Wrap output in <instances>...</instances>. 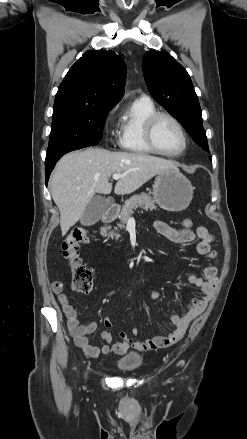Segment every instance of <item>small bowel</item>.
Instances as JSON below:
<instances>
[{
	"label": "small bowel",
	"instance_id": "small-bowel-1",
	"mask_svg": "<svg viewBox=\"0 0 247 439\" xmlns=\"http://www.w3.org/2000/svg\"><path fill=\"white\" fill-rule=\"evenodd\" d=\"M154 228L158 234L175 244H187L195 239L199 240L196 247L197 253L206 256L209 260L214 262L213 265L203 270V276L198 272H193L188 278L191 284L200 289L202 293L201 296L189 302L187 310L183 315H173L170 317V321L174 325V330L167 336H156L140 341L128 338L127 334L121 331L120 336L124 341H113L111 334L108 331H103L101 337L107 344L97 346L89 343L87 337L97 329V321L81 325L78 321L76 310L71 305L68 296L63 292V283L61 281L53 282L52 291L57 295L58 301L61 304L62 311L66 317L68 331L73 337L75 344L81 348L87 356L99 357L110 352L121 355L126 353L129 349L147 351L170 347L183 337L190 322L205 309L210 301L218 281V267L216 265L218 262V253L212 250L211 247L214 236L204 226H199L195 231H192L187 228L176 229L163 221H155ZM151 296L157 298L158 293L153 290ZM104 323L108 328L112 326L110 318H106ZM131 333L133 336H137L139 333L138 328L133 327Z\"/></svg>",
	"mask_w": 247,
	"mask_h": 439
}]
</instances>
